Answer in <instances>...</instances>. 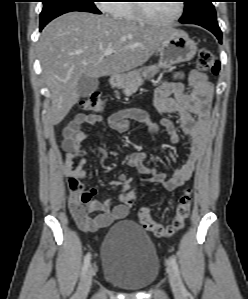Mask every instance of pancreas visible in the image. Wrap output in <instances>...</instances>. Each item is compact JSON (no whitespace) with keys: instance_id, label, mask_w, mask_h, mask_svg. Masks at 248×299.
I'll return each mask as SVG.
<instances>
[{"instance_id":"cf45deb5","label":"pancreas","mask_w":248,"mask_h":299,"mask_svg":"<svg viewBox=\"0 0 248 299\" xmlns=\"http://www.w3.org/2000/svg\"><path fill=\"white\" fill-rule=\"evenodd\" d=\"M141 84H142V81L140 79H138L135 83H133V84L127 86V87H124L123 93L126 96H130V95H132L133 93H135L138 90V87Z\"/></svg>"}]
</instances>
